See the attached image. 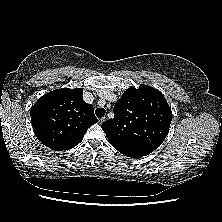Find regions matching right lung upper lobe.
<instances>
[{"label":"right lung upper lobe","instance_id":"cb5924a9","mask_svg":"<svg viewBox=\"0 0 222 222\" xmlns=\"http://www.w3.org/2000/svg\"><path fill=\"white\" fill-rule=\"evenodd\" d=\"M83 89L51 91L32 106L34 133L46 147L63 151L77 146L87 129L97 122L94 108L84 102Z\"/></svg>","mask_w":222,"mask_h":222}]
</instances>
